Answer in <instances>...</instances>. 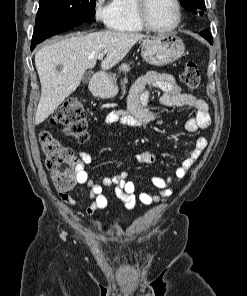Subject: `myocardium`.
<instances>
[{
  "mask_svg": "<svg viewBox=\"0 0 247 296\" xmlns=\"http://www.w3.org/2000/svg\"><path fill=\"white\" fill-rule=\"evenodd\" d=\"M148 2L149 0H135L134 4L136 18L143 28L155 33H169L174 31L180 25L182 9L179 0H172L176 10V18L174 23L167 28H158L151 24L147 15Z\"/></svg>",
  "mask_w": 247,
  "mask_h": 296,
  "instance_id": "myocardium-1",
  "label": "myocardium"
}]
</instances>
